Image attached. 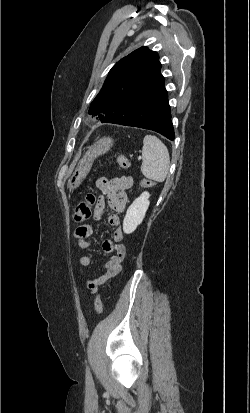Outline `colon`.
<instances>
[{"label": "colon", "mask_w": 250, "mask_h": 413, "mask_svg": "<svg viewBox=\"0 0 250 413\" xmlns=\"http://www.w3.org/2000/svg\"><path fill=\"white\" fill-rule=\"evenodd\" d=\"M118 164L124 168L128 169L131 165L130 160L123 156L118 155L116 157ZM141 186L143 187H154L156 185V180L154 178H149L148 180L143 179L140 182ZM96 203V195L94 193H88L84 200H82L78 205L75 207L74 210V220L76 222H84L88 220L92 213V207ZM94 308L98 314L102 313L103 311V303L101 300V296L97 295L94 301Z\"/></svg>", "instance_id": "obj_1"}]
</instances>
